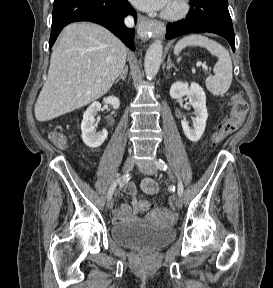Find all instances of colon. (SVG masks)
<instances>
[{
	"label": "colon",
	"instance_id": "obj_1",
	"mask_svg": "<svg viewBox=\"0 0 273 288\" xmlns=\"http://www.w3.org/2000/svg\"><path fill=\"white\" fill-rule=\"evenodd\" d=\"M232 109L228 118H226L218 129L214 132L211 138V145L220 144L225 138L234 133L243 124L248 112V103L241 94H235L231 100ZM50 139L59 147H64L67 144V137L57 131L49 133ZM140 212H146L150 208V204L146 200H138L136 202Z\"/></svg>",
	"mask_w": 273,
	"mask_h": 288
}]
</instances>
